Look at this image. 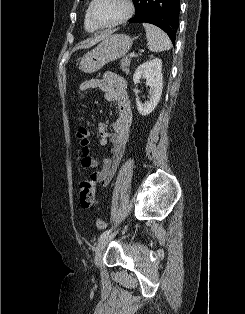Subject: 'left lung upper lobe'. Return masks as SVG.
Returning <instances> with one entry per match:
<instances>
[{
	"label": "left lung upper lobe",
	"mask_w": 245,
	"mask_h": 314,
	"mask_svg": "<svg viewBox=\"0 0 245 314\" xmlns=\"http://www.w3.org/2000/svg\"><path fill=\"white\" fill-rule=\"evenodd\" d=\"M132 1H133L134 5H135V11H136V13H137L138 10H139V1H140V0H132Z\"/></svg>",
	"instance_id": "5c2ea615"
}]
</instances>
